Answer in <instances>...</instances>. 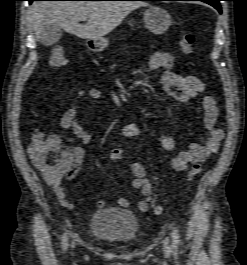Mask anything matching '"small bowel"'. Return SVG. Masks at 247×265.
<instances>
[{"instance_id": "small-bowel-1", "label": "small bowel", "mask_w": 247, "mask_h": 265, "mask_svg": "<svg viewBox=\"0 0 247 265\" xmlns=\"http://www.w3.org/2000/svg\"><path fill=\"white\" fill-rule=\"evenodd\" d=\"M174 65L175 57L171 53L155 52L149 62L148 69L152 71L162 70L160 84L164 91L174 100L180 103H188L204 92L205 83L196 76H183L174 72L172 70ZM102 95L103 92L98 88L79 91L73 105L63 113L60 119V126L70 131L72 135L80 139L83 143H89L92 138L89 129L77 120L79 100L85 96L97 100ZM201 107L204 112L203 125L209 132V135L203 143H191L172 159V167L176 171H184L188 168L189 164L200 163L209 155L216 153L224 138V131L216 127L219 110L215 97L211 95L203 96L201 98ZM120 134L124 138H137L143 135V131L137 124L127 123L122 126ZM51 137L61 144L58 136L51 135ZM156 140L165 151H173L176 149V140L171 136L158 135ZM64 151L69 155L71 165L68 172L63 176H53L35 164L41 170L46 183L53 190L61 205L67 209L75 210L76 205L67 198L65 188L63 187V180H70L76 176L84 161L85 152L81 147H69L64 149ZM130 171L132 174V187L140 189L145 196V199L137 203V208L141 212H146L149 208L148 200L152 197L153 188L150 180L146 176L145 167L142 163L135 161L130 164ZM106 203L105 200H100L97 206L103 208L106 206ZM117 203L122 207L129 206L128 200L124 198L117 199Z\"/></svg>"}]
</instances>
